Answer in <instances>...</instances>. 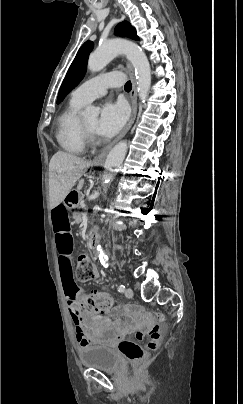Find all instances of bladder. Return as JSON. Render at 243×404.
<instances>
[{
    "label": "bladder",
    "instance_id": "bladder-1",
    "mask_svg": "<svg viewBox=\"0 0 243 404\" xmlns=\"http://www.w3.org/2000/svg\"><path fill=\"white\" fill-rule=\"evenodd\" d=\"M79 360L83 367L108 373L118 372L120 361L117 354L102 345H85L78 349Z\"/></svg>",
    "mask_w": 243,
    "mask_h": 404
}]
</instances>
